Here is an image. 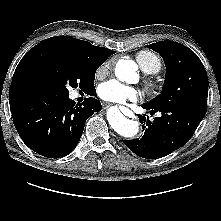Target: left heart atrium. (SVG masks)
<instances>
[{
    "label": "left heart atrium",
    "mask_w": 221,
    "mask_h": 221,
    "mask_svg": "<svg viewBox=\"0 0 221 221\" xmlns=\"http://www.w3.org/2000/svg\"><path fill=\"white\" fill-rule=\"evenodd\" d=\"M98 95L105 101L124 104L127 101H137L141 93L134 87L111 79L99 86Z\"/></svg>",
    "instance_id": "obj_1"
}]
</instances>
